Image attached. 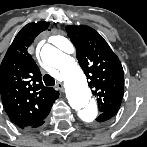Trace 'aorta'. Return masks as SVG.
I'll use <instances>...</instances> for the list:
<instances>
[{"label":"aorta","mask_w":147,"mask_h":147,"mask_svg":"<svg viewBox=\"0 0 147 147\" xmlns=\"http://www.w3.org/2000/svg\"><path fill=\"white\" fill-rule=\"evenodd\" d=\"M65 42L72 48L69 41ZM41 57L44 63L60 72L71 107L78 111L84 120H92L97 114V107L91 100L86 76L75 59L48 44L42 48Z\"/></svg>","instance_id":"762f6f07"}]
</instances>
